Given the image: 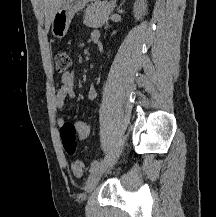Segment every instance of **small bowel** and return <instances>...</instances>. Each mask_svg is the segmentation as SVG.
I'll list each match as a JSON object with an SVG mask.
<instances>
[{"instance_id":"1","label":"small bowel","mask_w":216,"mask_h":217,"mask_svg":"<svg viewBox=\"0 0 216 217\" xmlns=\"http://www.w3.org/2000/svg\"><path fill=\"white\" fill-rule=\"evenodd\" d=\"M95 37H99L100 34L96 31L91 33V39L94 41ZM75 80H74V72L69 71L65 72L61 76V85L59 90L57 91L55 98H54V105L57 109H62L65 105V102L67 99H73L76 96L75 92ZM96 95V86L92 85L89 88L88 94H87V100H92ZM65 121L63 118L57 119V125L60 129V132L62 128L65 125ZM75 131H76V138L78 140H84L86 139L90 134V124L87 120L80 119L75 124Z\"/></svg>"}]
</instances>
